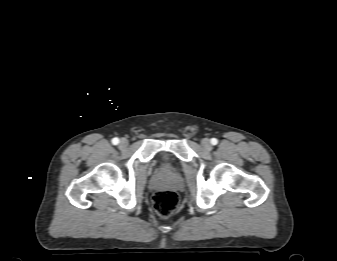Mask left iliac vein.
<instances>
[{"instance_id": "obj_1", "label": "left iliac vein", "mask_w": 337, "mask_h": 261, "mask_svg": "<svg viewBox=\"0 0 337 261\" xmlns=\"http://www.w3.org/2000/svg\"><path fill=\"white\" fill-rule=\"evenodd\" d=\"M201 144H202V146H203L206 150H208V151H210V150L212 149L211 142H210V140H209L208 138H204V139L201 141Z\"/></svg>"}]
</instances>
